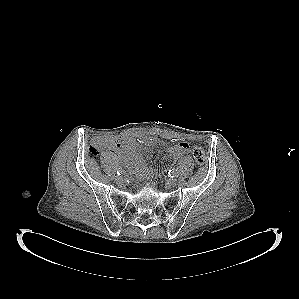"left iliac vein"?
I'll use <instances>...</instances> for the list:
<instances>
[{
	"mask_svg": "<svg viewBox=\"0 0 299 299\" xmlns=\"http://www.w3.org/2000/svg\"><path fill=\"white\" fill-rule=\"evenodd\" d=\"M177 179L176 178H170L167 180L166 184L168 187H175L177 185Z\"/></svg>",
	"mask_w": 299,
	"mask_h": 299,
	"instance_id": "obj_1",
	"label": "left iliac vein"
}]
</instances>
